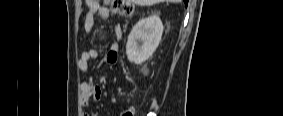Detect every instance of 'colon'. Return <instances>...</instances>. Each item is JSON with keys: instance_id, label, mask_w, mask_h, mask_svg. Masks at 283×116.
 Masks as SVG:
<instances>
[{"instance_id": "obj_1", "label": "colon", "mask_w": 283, "mask_h": 116, "mask_svg": "<svg viewBox=\"0 0 283 116\" xmlns=\"http://www.w3.org/2000/svg\"><path fill=\"white\" fill-rule=\"evenodd\" d=\"M109 10L117 15L124 17H131L134 15V4L131 0H106L105 1ZM124 116H133L134 109L132 107L126 109L123 113Z\"/></svg>"}]
</instances>
